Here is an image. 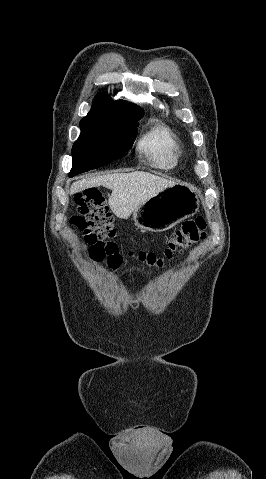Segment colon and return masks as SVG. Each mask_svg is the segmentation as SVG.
Wrapping results in <instances>:
<instances>
[{"label": "colon", "instance_id": "obj_1", "mask_svg": "<svg viewBox=\"0 0 266 479\" xmlns=\"http://www.w3.org/2000/svg\"><path fill=\"white\" fill-rule=\"evenodd\" d=\"M77 212L72 224L82 234V244L96 261L106 258L110 269L119 267L122 257L117 244L113 217L105 204L102 193L95 188L87 189L75 196ZM207 222L203 217L185 221L170 236L161 253L152 251H131L129 255L141 264L160 268L166 262L181 254L192 244L206 238Z\"/></svg>", "mask_w": 266, "mask_h": 479}]
</instances>
